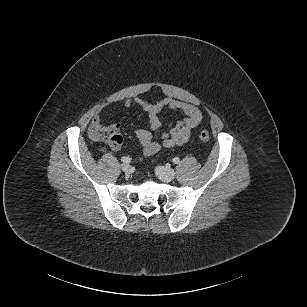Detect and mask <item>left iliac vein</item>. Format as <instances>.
<instances>
[{
    "mask_svg": "<svg viewBox=\"0 0 307 307\" xmlns=\"http://www.w3.org/2000/svg\"><path fill=\"white\" fill-rule=\"evenodd\" d=\"M156 174L164 182H170L175 178L174 169L163 166H158L156 168Z\"/></svg>",
    "mask_w": 307,
    "mask_h": 307,
    "instance_id": "1",
    "label": "left iliac vein"
}]
</instances>
